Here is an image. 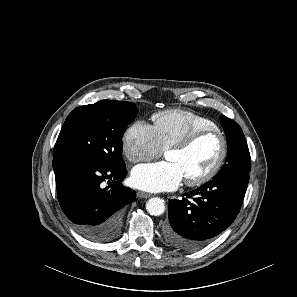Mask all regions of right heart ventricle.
<instances>
[{
    "label": "right heart ventricle",
    "instance_id": "e07e8e85",
    "mask_svg": "<svg viewBox=\"0 0 297 297\" xmlns=\"http://www.w3.org/2000/svg\"><path fill=\"white\" fill-rule=\"evenodd\" d=\"M154 129L162 149L200 129L216 128L211 120L184 110L158 112L153 116Z\"/></svg>",
    "mask_w": 297,
    "mask_h": 297
}]
</instances>
